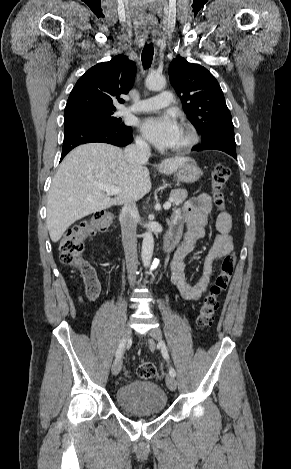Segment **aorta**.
<instances>
[{
	"label": "aorta",
	"mask_w": 291,
	"mask_h": 469,
	"mask_svg": "<svg viewBox=\"0 0 291 469\" xmlns=\"http://www.w3.org/2000/svg\"><path fill=\"white\" fill-rule=\"evenodd\" d=\"M145 85L147 89L152 91L162 90L166 86V79L162 75L149 74L146 78ZM154 249V237L152 232L148 231L144 234L141 258L144 267L150 265Z\"/></svg>",
	"instance_id": "obj_1"
}]
</instances>
